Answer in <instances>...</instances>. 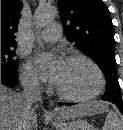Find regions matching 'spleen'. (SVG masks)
<instances>
[{"label":"spleen","instance_id":"1","mask_svg":"<svg viewBox=\"0 0 123 130\" xmlns=\"http://www.w3.org/2000/svg\"><path fill=\"white\" fill-rule=\"evenodd\" d=\"M102 130H123V124L115 112H108Z\"/></svg>","mask_w":123,"mask_h":130}]
</instances>
